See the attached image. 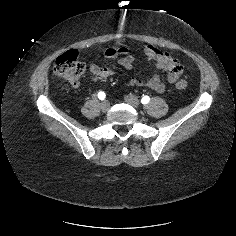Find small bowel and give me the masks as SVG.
Masks as SVG:
<instances>
[{"instance_id":"small-bowel-1","label":"small bowel","mask_w":236,"mask_h":236,"mask_svg":"<svg viewBox=\"0 0 236 236\" xmlns=\"http://www.w3.org/2000/svg\"><path fill=\"white\" fill-rule=\"evenodd\" d=\"M137 53L144 55L149 61H154L164 76L157 74L148 78L144 77L140 71L134 68ZM102 54L116 60L125 70L134 72V76L127 81L128 85L145 86L158 93L165 90V81L170 84L175 83L184 71L182 64L169 52L160 50L151 44L139 47L136 53H129V49L126 46H118L106 48L102 51ZM89 71L90 79L95 83L104 82L115 74L113 68L100 67L94 62L89 64Z\"/></svg>"}]
</instances>
